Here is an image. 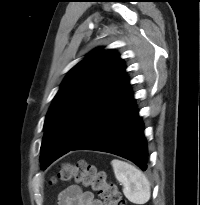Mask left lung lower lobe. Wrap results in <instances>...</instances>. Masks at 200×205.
Wrapping results in <instances>:
<instances>
[{
	"instance_id": "obj_1",
	"label": "left lung lower lobe",
	"mask_w": 200,
	"mask_h": 205,
	"mask_svg": "<svg viewBox=\"0 0 200 205\" xmlns=\"http://www.w3.org/2000/svg\"><path fill=\"white\" fill-rule=\"evenodd\" d=\"M143 131L144 125L138 115L129 80L126 79L109 107L71 150L112 153L146 171L148 151Z\"/></svg>"
}]
</instances>
